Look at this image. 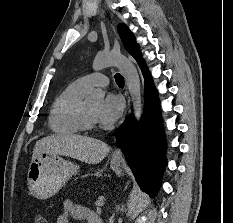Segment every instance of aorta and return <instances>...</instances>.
<instances>
[{"label":"aorta","mask_w":233,"mask_h":223,"mask_svg":"<svg viewBox=\"0 0 233 223\" xmlns=\"http://www.w3.org/2000/svg\"><path fill=\"white\" fill-rule=\"evenodd\" d=\"M108 66H116L123 74L131 94L134 115L136 119H140L142 113L141 84L136 68H134L132 62H129L123 56H100V58L97 56L93 62V70L95 72L108 68ZM104 98L105 92L96 90V88H91L86 96L87 102H103Z\"/></svg>","instance_id":"aorta-1"}]
</instances>
